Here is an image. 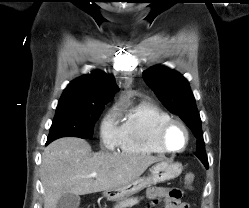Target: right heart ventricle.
I'll return each instance as SVG.
<instances>
[{
  "mask_svg": "<svg viewBox=\"0 0 249 208\" xmlns=\"http://www.w3.org/2000/svg\"><path fill=\"white\" fill-rule=\"evenodd\" d=\"M172 119L164 109L147 101L131 107L120 126V148L136 155L165 153L156 141L159 127Z\"/></svg>",
  "mask_w": 249,
  "mask_h": 208,
  "instance_id": "right-heart-ventricle-1",
  "label": "right heart ventricle"
}]
</instances>
